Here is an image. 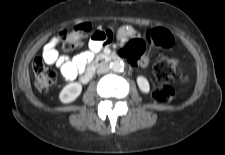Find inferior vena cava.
Returning <instances> with one entry per match:
<instances>
[{"label": "inferior vena cava", "instance_id": "obj_1", "mask_svg": "<svg viewBox=\"0 0 225 155\" xmlns=\"http://www.w3.org/2000/svg\"><path fill=\"white\" fill-rule=\"evenodd\" d=\"M109 71V66L106 63L101 64L98 68H97V74H103Z\"/></svg>", "mask_w": 225, "mask_h": 155}]
</instances>
